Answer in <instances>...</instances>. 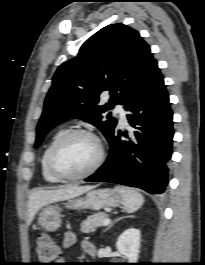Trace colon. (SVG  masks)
<instances>
[{"label":"colon","mask_w":205,"mask_h":265,"mask_svg":"<svg viewBox=\"0 0 205 265\" xmlns=\"http://www.w3.org/2000/svg\"><path fill=\"white\" fill-rule=\"evenodd\" d=\"M36 253L39 265H54L60 255V248L50 236L41 235L37 241Z\"/></svg>","instance_id":"obj_1"}]
</instances>
